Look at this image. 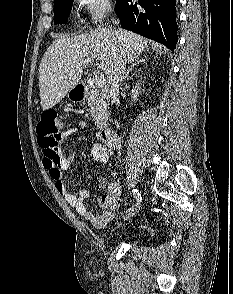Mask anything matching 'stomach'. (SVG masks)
<instances>
[{"mask_svg": "<svg viewBox=\"0 0 233 294\" xmlns=\"http://www.w3.org/2000/svg\"><path fill=\"white\" fill-rule=\"evenodd\" d=\"M78 96H79L78 92L74 89L68 92V98L72 101L76 100Z\"/></svg>", "mask_w": 233, "mask_h": 294, "instance_id": "stomach-1", "label": "stomach"}]
</instances>
